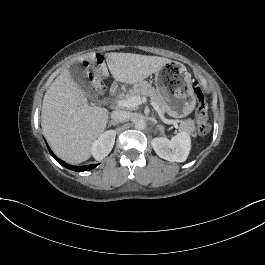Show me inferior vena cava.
I'll list each match as a JSON object with an SVG mask.
<instances>
[{
  "label": "inferior vena cava",
  "mask_w": 265,
  "mask_h": 265,
  "mask_svg": "<svg viewBox=\"0 0 265 265\" xmlns=\"http://www.w3.org/2000/svg\"><path fill=\"white\" fill-rule=\"evenodd\" d=\"M111 118L114 122H126L131 118V114L127 111L115 110L111 114Z\"/></svg>",
  "instance_id": "1"
}]
</instances>
